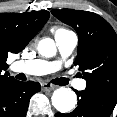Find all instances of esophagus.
<instances>
[{"label":"esophagus","mask_w":117,"mask_h":117,"mask_svg":"<svg viewBox=\"0 0 117 117\" xmlns=\"http://www.w3.org/2000/svg\"><path fill=\"white\" fill-rule=\"evenodd\" d=\"M56 88L55 85L49 84V83H43L42 84V91H52Z\"/></svg>","instance_id":"obj_1"}]
</instances>
